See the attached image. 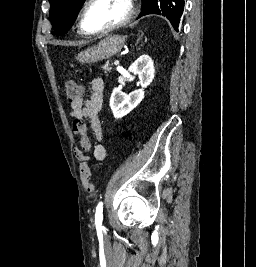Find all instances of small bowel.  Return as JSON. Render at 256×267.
<instances>
[{"label":"small bowel","instance_id":"1","mask_svg":"<svg viewBox=\"0 0 256 267\" xmlns=\"http://www.w3.org/2000/svg\"><path fill=\"white\" fill-rule=\"evenodd\" d=\"M103 89V79L101 77H95L90 82L89 96L86 99L80 97L71 102L70 117L82 119L86 118L89 121L90 127L98 141L102 138L100 110L102 106ZM81 146L82 149L76 150V156L80 161H87L89 158L84 154V151L91 149V140L89 136L88 138H81ZM93 155L98 161L105 159L106 149L100 142L94 146Z\"/></svg>","mask_w":256,"mask_h":267}]
</instances>
